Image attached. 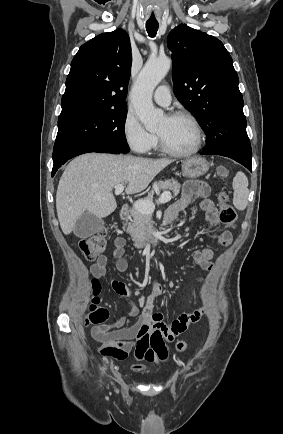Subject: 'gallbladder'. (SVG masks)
<instances>
[{
	"label": "gallbladder",
	"instance_id": "1",
	"mask_svg": "<svg viewBox=\"0 0 283 434\" xmlns=\"http://www.w3.org/2000/svg\"><path fill=\"white\" fill-rule=\"evenodd\" d=\"M104 221L92 213L85 212L79 217L74 226V234L80 238H87L104 228Z\"/></svg>",
	"mask_w": 283,
	"mask_h": 434
}]
</instances>
